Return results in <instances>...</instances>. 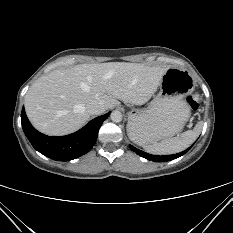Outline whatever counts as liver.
Wrapping results in <instances>:
<instances>
[{
    "label": "liver",
    "instance_id": "liver-1",
    "mask_svg": "<svg viewBox=\"0 0 233 233\" xmlns=\"http://www.w3.org/2000/svg\"><path fill=\"white\" fill-rule=\"evenodd\" d=\"M169 66L108 62L57 69L40 77L25 96V110L32 125L51 136L66 135L90 119L87 104L102 102L107 109L119 100L146 103L157 90ZM110 77L105 79V76Z\"/></svg>",
    "mask_w": 233,
    "mask_h": 233
}]
</instances>
